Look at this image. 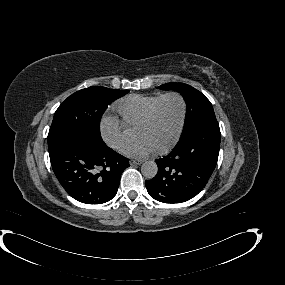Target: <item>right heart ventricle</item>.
I'll return each instance as SVG.
<instances>
[{
  "mask_svg": "<svg viewBox=\"0 0 285 285\" xmlns=\"http://www.w3.org/2000/svg\"><path fill=\"white\" fill-rule=\"evenodd\" d=\"M161 96L132 95L121 101L117 110L129 127L137 128L149 116Z\"/></svg>",
  "mask_w": 285,
  "mask_h": 285,
  "instance_id": "1",
  "label": "right heart ventricle"
}]
</instances>
